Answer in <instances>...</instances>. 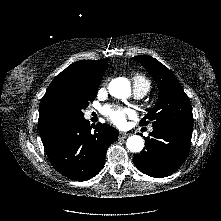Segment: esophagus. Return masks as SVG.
Segmentation results:
<instances>
[{
    "label": "esophagus",
    "mask_w": 221,
    "mask_h": 221,
    "mask_svg": "<svg viewBox=\"0 0 221 221\" xmlns=\"http://www.w3.org/2000/svg\"><path fill=\"white\" fill-rule=\"evenodd\" d=\"M128 136H129L128 133H125V132H120V133H119V137H120V138H127Z\"/></svg>",
    "instance_id": "obj_1"
}]
</instances>
